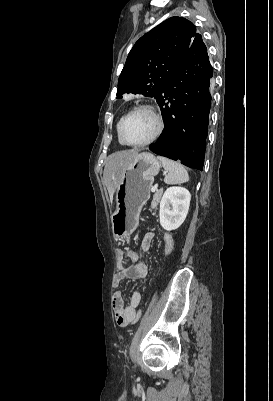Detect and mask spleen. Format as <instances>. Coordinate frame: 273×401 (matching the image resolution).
I'll use <instances>...</instances> for the list:
<instances>
[{
  "mask_svg": "<svg viewBox=\"0 0 273 401\" xmlns=\"http://www.w3.org/2000/svg\"><path fill=\"white\" fill-rule=\"evenodd\" d=\"M157 158L161 160L165 170H169L164 178L167 184H180V182H187L189 180V174L180 162H174V160L165 158V156H157Z\"/></svg>",
  "mask_w": 273,
  "mask_h": 401,
  "instance_id": "spleen-1",
  "label": "spleen"
}]
</instances>
